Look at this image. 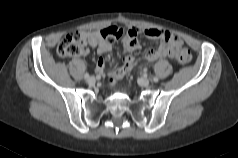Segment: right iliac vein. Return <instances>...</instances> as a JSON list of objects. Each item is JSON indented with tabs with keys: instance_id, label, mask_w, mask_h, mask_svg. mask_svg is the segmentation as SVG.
Instances as JSON below:
<instances>
[{
	"instance_id": "1",
	"label": "right iliac vein",
	"mask_w": 238,
	"mask_h": 158,
	"mask_svg": "<svg viewBox=\"0 0 238 158\" xmlns=\"http://www.w3.org/2000/svg\"><path fill=\"white\" fill-rule=\"evenodd\" d=\"M87 82H88L90 85H92V84H94V83L96 82V79H95L93 76H91V77H88V78H87Z\"/></svg>"
}]
</instances>
